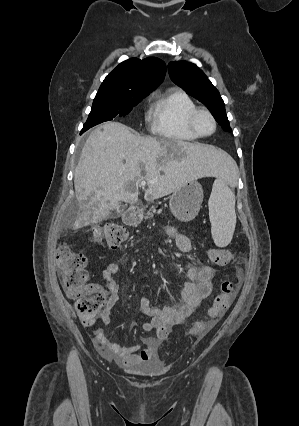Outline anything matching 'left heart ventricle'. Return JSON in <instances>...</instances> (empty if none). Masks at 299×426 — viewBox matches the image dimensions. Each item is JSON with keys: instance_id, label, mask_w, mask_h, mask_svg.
<instances>
[{"instance_id": "b2bd125f", "label": "left heart ventricle", "mask_w": 299, "mask_h": 426, "mask_svg": "<svg viewBox=\"0 0 299 426\" xmlns=\"http://www.w3.org/2000/svg\"><path fill=\"white\" fill-rule=\"evenodd\" d=\"M197 126L203 134H209L213 130V123L207 115L199 116Z\"/></svg>"}]
</instances>
